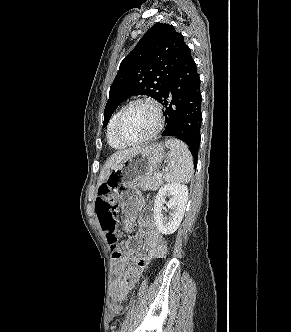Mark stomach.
Listing matches in <instances>:
<instances>
[{"label": "stomach", "instance_id": "stomach-1", "mask_svg": "<svg viewBox=\"0 0 291 332\" xmlns=\"http://www.w3.org/2000/svg\"><path fill=\"white\" fill-rule=\"evenodd\" d=\"M163 158V145L153 144L141 147L128 155L117 168L110 172L104 183L117 197L123 212L128 214L138 212L141 196L135 184L151 178Z\"/></svg>", "mask_w": 291, "mask_h": 332}]
</instances>
